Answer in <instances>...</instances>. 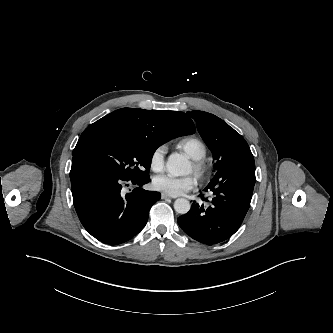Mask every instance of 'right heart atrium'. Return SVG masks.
<instances>
[{"label":"right heart atrium","mask_w":333,"mask_h":333,"mask_svg":"<svg viewBox=\"0 0 333 333\" xmlns=\"http://www.w3.org/2000/svg\"><path fill=\"white\" fill-rule=\"evenodd\" d=\"M165 165V147H157L151 154L149 166L154 172H161Z\"/></svg>","instance_id":"d8ad5b80"}]
</instances>
